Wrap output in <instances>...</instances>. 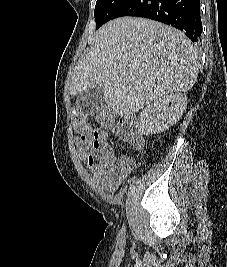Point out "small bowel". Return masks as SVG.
I'll return each mask as SVG.
<instances>
[{
    "label": "small bowel",
    "mask_w": 227,
    "mask_h": 267,
    "mask_svg": "<svg viewBox=\"0 0 227 267\" xmlns=\"http://www.w3.org/2000/svg\"><path fill=\"white\" fill-rule=\"evenodd\" d=\"M116 134H119L118 128L114 130ZM107 133L105 131L93 130L90 134L79 133V137L76 141L78 153L83 158L87 166L92 170L95 178L105 183L104 168L106 166V160L110 155L106 144ZM132 168V163L128 160H123L116 167V178L124 177Z\"/></svg>",
    "instance_id": "small-bowel-1"
}]
</instances>
